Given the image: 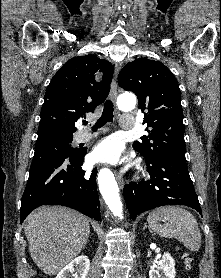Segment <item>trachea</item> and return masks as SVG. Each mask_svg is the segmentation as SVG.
I'll use <instances>...</instances> for the list:
<instances>
[{
  "instance_id": "obj_1",
  "label": "trachea",
  "mask_w": 221,
  "mask_h": 278,
  "mask_svg": "<svg viewBox=\"0 0 221 278\" xmlns=\"http://www.w3.org/2000/svg\"><path fill=\"white\" fill-rule=\"evenodd\" d=\"M113 111H114V107H113L112 101L107 100L104 104V109H103L102 115L97 120L96 124L92 127V130L96 131L98 128H101L102 126H104L106 123L112 122L113 121ZM83 124L87 125L88 122L84 121Z\"/></svg>"
}]
</instances>
